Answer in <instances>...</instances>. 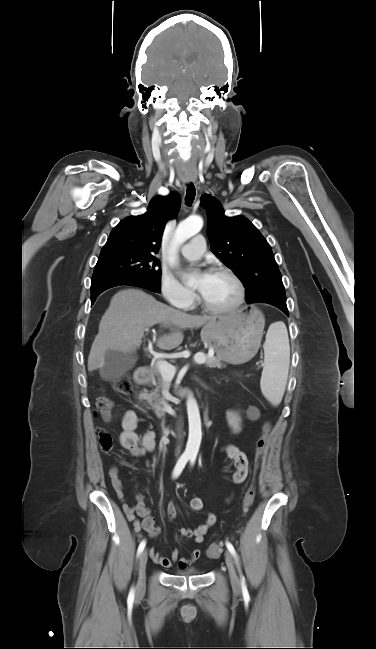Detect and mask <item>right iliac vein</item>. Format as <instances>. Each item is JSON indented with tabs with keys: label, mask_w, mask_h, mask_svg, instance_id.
I'll list each match as a JSON object with an SVG mask.
<instances>
[{
	"label": "right iliac vein",
	"mask_w": 376,
	"mask_h": 649,
	"mask_svg": "<svg viewBox=\"0 0 376 649\" xmlns=\"http://www.w3.org/2000/svg\"><path fill=\"white\" fill-rule=\"evenodd\" d=\"M146 564H147V551L144 550L139 558V563H138V582H137V592L142 593L145 589V571H146Z\"/></svg>",
	"instance_id": "obj_1"
}]
</instances>
